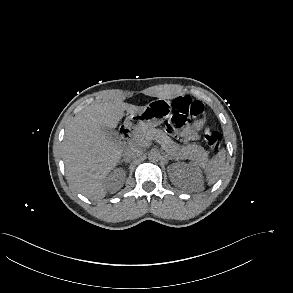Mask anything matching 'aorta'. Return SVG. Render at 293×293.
<instances>
[{
	"mask_svg": "<svg viewBox=\"0 0 293 293\" xmlns=\"http://www.w3.org/2000/svg\"><path fill=\"white\" fill-rule=\"evenodd\" d=\"M148 159L151 162H158L161 159V154L158 150L152 149L148 153Z\"/></svg>",
	"mask_w": 293,
	"mask_h": 293,
	"instance_id": "aorta-1",
	"label": "aorta"
}]
</instances>
